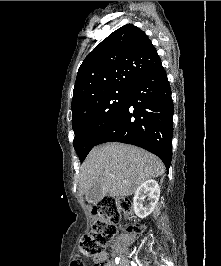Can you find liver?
I'll list each match as a JSON object with an SVG mask.
<instances>
[{"label":"liver","mask_w":221,"mask_h":266,"mask_svg":"<svg viewBox=\"0 0 221 266\" xmlns=\"http://www.w3.org/2000/svg\"><path fill=\"white\" fill-rule=\"evenodd\" d=\"M164 171L162 161L144 149L117 142L106 143L94 147L82 164L79 189L83 194L101 184L110 196L126 197L144 181L159 177Z\"/></svg>","instance_id":"1"}]
</instances>
